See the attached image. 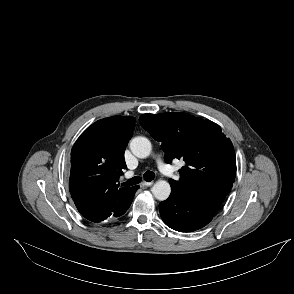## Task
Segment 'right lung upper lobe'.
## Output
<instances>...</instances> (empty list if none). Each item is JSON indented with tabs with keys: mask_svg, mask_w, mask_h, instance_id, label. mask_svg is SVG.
<instances>
[{
	"mask_svg": "<svg viewBox=\"0 0 294 294\" xmlns=\"http://www.w3.org/2000/svg\"><path fill=\"white\" fill-rule=\"evenodd\" d=\"M135 118L114 116L98 120L77 139L71 150L69 187L85 218L110 212L131 188H119L126 169L124 151L133 135Z\"/></svg>",
	"mask_w": 294,
	"mask_h": 294,
	"instance_id": "obj_1",
	"label": "right lung upper lobe"
}]
</instances>
